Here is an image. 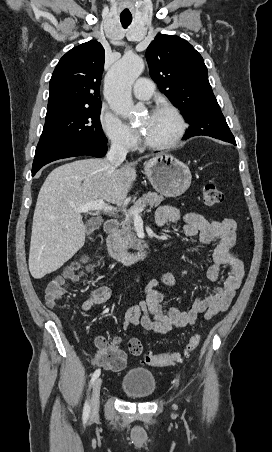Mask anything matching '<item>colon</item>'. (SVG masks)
Returning a JSON list of instances; mask_svg holds the SVG:
<instances>
[{"instance_id":"obj_1","label":"colon","mask_w":272,"mask_h":452,"mask_svg":"<svg viewBox=\"0 0 272 452\" xmlns=\"http://www.w3.org/2000/svg\"><path fill=\"white\" fill-rule=\"evenodd\" d=\"M202 199L206 206L212 207L224 201V194L215 184L208 183L203 187ZM88 269H90V266H85L83 262H76L69 266L60 276L52 280L45 292L47 305L50 308L57 307L67 284L76 281ZM200 339V333L197 332L191 336L182 353L150 354L144 358L143 362L156 367L172 365L181 358L189 356L198 347ZM96 344L98 352L95 358L99 365L107 370L123 368L125 355L120 350L109 346L106 340H100ZM128 349L135 356H140L143 352L142 343L138 340L129 341Z\"/></svg>"}]
</instances>
